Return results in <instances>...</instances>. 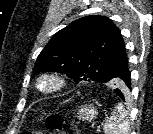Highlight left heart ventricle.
<instances>
[{
  "label": "left heart ventricle",
  "instance_id": "obj_1",
  "mask_svg": "<svg viewBox=\"0 0 153 134\" xmlns=\"http://www.w3.org/2000/svg\"><path fill=\"white\" fill-rule=\"evenodd\" d=\"M50 84L48 82L43 83V87H48Z\"/></svg>",
  "mask_w": 153,
  "mask_h": 134
}]
</instances>
